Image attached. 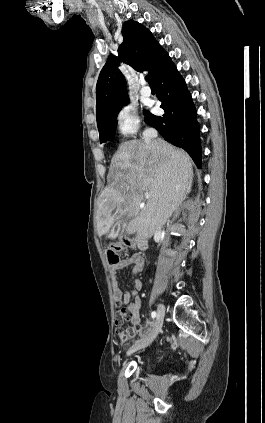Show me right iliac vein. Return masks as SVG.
Listing matches in <instances>:
<instances>
[{
	"mask_svg": "<svg viewBox=\"0 0 265 423\" xmlns=\"http://www.w3.org/2000/svg\"><path fill=\"white\" fill-rule=\"evenodd\" d=\"M164 316H165V307L162 304H160L157 309V318H156L155 325L151 334L148 337L135 342L127 351V356L131 355L132 353L142 348L147 347L154 341V339L157 337V335L159 334L162 328Z\"/></svg>",
	"mask_w": 265,
	"mask_h": 423,
	"instance_id": "obj_1",
	"label": "right iliac vein"
}]
</instances>
